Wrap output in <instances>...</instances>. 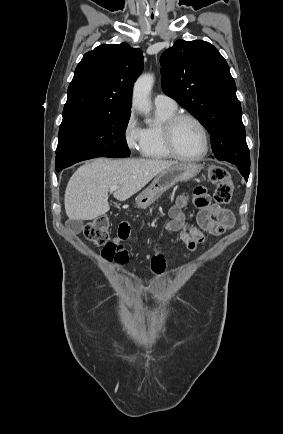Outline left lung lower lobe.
Masks as SVG:
<instances>
[{"label":"left lung lower lobe","instance_id":"obj_1","mask_svg":"<svg viewBox=\"0 0 283 434\" xmlns=\"http://www.w3.org/2000/svg\"><path fill=\"white\" fill-rule=\"evenodd\" d=\"M238 167L240 173L242 174V176L245 178V180H248L249 177V173H250V164H245V163H237L234 164Z\"/></svg>","mask_w":283,"mask_h":434}]
</instances>
